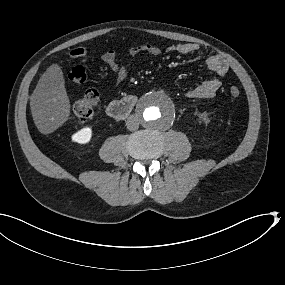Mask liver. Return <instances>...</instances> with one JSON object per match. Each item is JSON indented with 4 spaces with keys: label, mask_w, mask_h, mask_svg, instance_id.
Returning a JSON list of instances; mask_svg holds the SVG:
<instances>
[{
    "label": "liver",
    "mask_w": 285,
    "mask_h": 285,
    "mask_svg": "<svg viewBox=\"0 0 285 285\" xmlns=\"http://www.w3.org/2000/svg\"><path fill=\"white\" fill-rule=\"evenodd\" d=\"M62 66L52 63L40 77L31 97L30 110L37 130L48 135L70 117L71 104Z\"/></svg>",
    "instance_id": "liver-1"
}]
</instances>
